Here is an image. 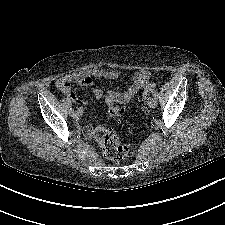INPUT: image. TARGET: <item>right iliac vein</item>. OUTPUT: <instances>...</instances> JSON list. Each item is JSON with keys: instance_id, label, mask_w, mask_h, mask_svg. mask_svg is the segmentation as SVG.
<instances>
[{"instance_id": "obj_1", "label": "right iliac vein", "mask_w": 225, "mask_h": 225, "mask_svg": "<svg viewBox=\"0 0 225 225\" xmlns=\"http://www.w3.org/2000/svg\"><path fill=\"white\" fill-rule=\"evenodd\" d=\"M73 119H75L76 121L80 118V112L78 111H73V113L71 114Z\"/></svg>"}]
</instances>
